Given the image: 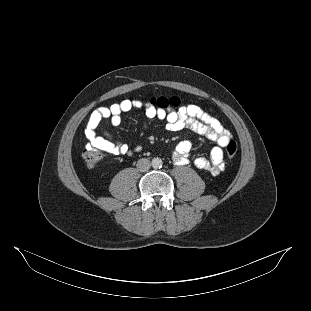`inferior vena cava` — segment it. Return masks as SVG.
Listing matches in <instances>:
<instances>
[{
  "instance_id": "inferior-vena-cava-1",
  "label": "inferior vena cava",
  "mask_w": 311,
  "mask_h": 311,
  "mask_svg": "<svg viewBox=\"0 0 311 311\" xmlns=\"http://www.w3.org/2000/svg\"><path fill=\"white\" fill-rule=\"evenodd\" d=\"M137 169L141 172H145L150 169L151 162L148 159L142 158L137 161Z\"/></svg>"
}]
</instances>
